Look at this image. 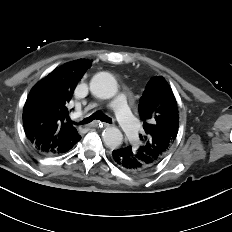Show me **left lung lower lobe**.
I'll return each mask as SVG.
<instances>
[{"label": "left lung lower lobe", "mask_w": 232, "mask_h": 232, "mask_svg": "<svg viewBox=\"0 0 232 232\" xmlns=\"http://www.w3.org/2000/svg\"><path fill=\"white\" fill-rule=\"evenodd\" d=\"M113 162L121 169L139 173L148 170V166L134 153L131 146L118 148L112 152Z\"/></svg>", "instance_id": "left-lung-lower-lobe-1"}]
</instances>
